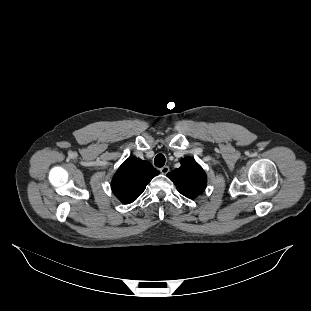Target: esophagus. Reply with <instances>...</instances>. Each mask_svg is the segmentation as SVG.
Masks as SVG:
<instances>
[{"instance_id":"34e87169","label":"esophagus","mask_w":311,"mask_h":311,"mask_svg":"<svg viewBox=\"0 0 311 311\" xmlns=\"http://www.w3.org/2000/svg\"><path fill=\"white\" fill-rule=\"evenodd\" d=\"M169 166H163L162 168H160V172L162 174H167L169 172Z\"/></svg>"}]
</instances>
